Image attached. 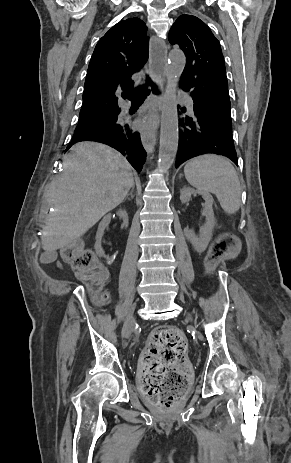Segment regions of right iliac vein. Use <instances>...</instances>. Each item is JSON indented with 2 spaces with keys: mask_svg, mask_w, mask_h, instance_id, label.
I'll return each mask as SVG.
<instances>
[{
  "mask_svg": "<svg viewBox=\"0 0 291 463\" xmlns=\"http://www.w3.org/2000/svg\"><path fill=\"white\" fill-rule=\"evenodd\" d=\"M134 310H135V305H132L130 310L128 311V314L125 319L124 327L122 330V337L128 338L132 332L133 329V324H134Z\"/></svg>",
  "mask_w": 291,
  "mask_h": 463,
  "instance_id": "right-iliac-vein-1",
  "label": "right iliac vein"
}]
</instances>
